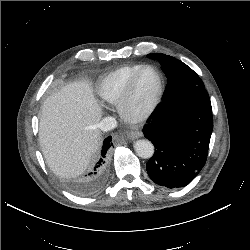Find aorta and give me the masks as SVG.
Returning a JSON list of instances; mask_svg holds the SVG:
<instances>
[{
    "label": "aorta",
    "mask_w": 250,
    "mask_h": 250,
    "mask_svg": "<svg viewBox=\"0 0 250 250\" xmlns=\"http://www.w3.org/2000/svg\"><path fill=\"white\" fill-rule=\"evenodd\" d=\"M134 149L137 155L144 159L151 158L154 154V146L148 140H144V139L137 140L134 143Z\"/></svg>",
    "instance_id": "1"
}]
</instances>
